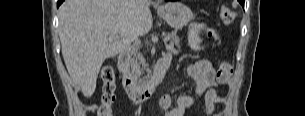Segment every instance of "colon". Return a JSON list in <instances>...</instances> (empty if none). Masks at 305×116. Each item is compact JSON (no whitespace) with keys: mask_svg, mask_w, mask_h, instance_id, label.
<instances>
[{"mask_svg":"<svg viewBox=\"0 0 305 116\" xmlns=\"http://www.w3.org/2000/svg\"><path fill=\"white\" fill-rule=\"evenodd\" d=\"M235 12L227 7L221 6L220 17L225 24H231L235 19ZM232 66L228 62H223L217 70V81L220 84H225L232 76ZM103 86L101 103L98 109V116H113L112 105L115 101V71L111 66H104L100 73Z\"/></svg>","mask_w":305,"mask_h":116,"instance_id":"obj_1","label":"colon"}]
</instances>
